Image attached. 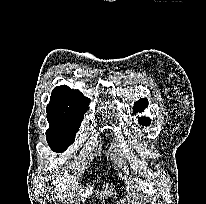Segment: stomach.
I'll return each mask as SVG.
<instances>
[{"label": "stomach", "instance_id": "1", "mask_svg": "<svg viewBox=\"0 0 206 204\" xmlns=\"http://www.w3.org/2000/svg\"><path fill=\"white\" fill-rule=\"evenodd\" d=\"M145 193L149 195V197L155 199L158 196L157 189L153 183H146L143 187Z\"/></svg>", "mask_w": 206, "mask_h": 204}]
</instances>
